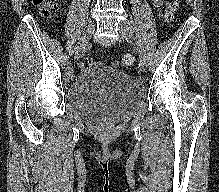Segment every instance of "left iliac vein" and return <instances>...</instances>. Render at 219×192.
Returning <instances> with one entry per match:
<instances>
[{"mask_svg":"<svg viewBox=\"0 0 219 192\" xmlns=\"http://www.w3.org/2000/svg\"><path fill=\"white\" fill-rule=\"evenodd\" d=\"M118 32L121 40H126L131 34V27L127 23H120L118 26ZM146 60L144 57H139V67L142 72L146 71Z\"/></svg>","mask_w":219,"mask_h":192,"instance_id":"4c4485c4","label":"left iliac vein"}]
</instances>
